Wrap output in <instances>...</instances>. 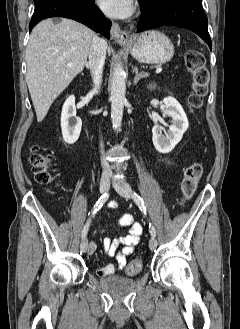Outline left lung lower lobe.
<instances>
[{
  "label": "left lung lower lobe",
  "instance_id": "left-lung-lower-lobe-1",
  "mask_svg": "<svg viewBox=\"0 0 240 329\" xmlns=\"http://www.w3.org/2000/svg\"><path fill=\"white\" fill-rule=\"evenodd\" d=\"M137 32L161 26H179L198 34L212 49L202 0H139Z\"/></svg>",
  "mask_w": 240,
  "mask_h": 329
}]
</instances>
